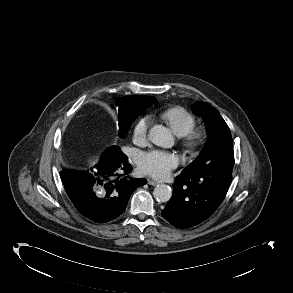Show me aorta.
Returning <instances> with one entry per match:
<instances>
[{
	"label": "aorta",
	"mask_w": 293,
	"mask_h": 293,
	"mask_svg": "<svg viewBox=\"0 0 293 293\" xmlns=\"http://www.w3.org/2000/svg\"><path fill=\"white\" fill-rule=\"evenodd\" d=\"M148 138L153 144L163 148H171L174 144L170 131L162 125L153 126L149 130ZM153 195L158 202H167L172 196V189L168 185L161 184L155 187Z\"/></svg>",
	"instance_id": "762f6f07"
}]
</instances>
